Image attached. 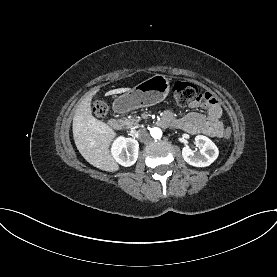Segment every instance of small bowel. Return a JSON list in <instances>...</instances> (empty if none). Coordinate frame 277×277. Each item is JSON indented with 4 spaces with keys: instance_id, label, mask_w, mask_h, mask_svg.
<instances>
[{
    "instance_id": "1",
    "label": "small bowel",
    "mask_w": 277,
    "mask_h": 277,
    "mask_svg": "<svg viewBox=\"0 0 277 277\" xmlns=\"http://www.w3.org/2000/svg\"><path fill=\"white\" fill-rule=\"evenodd\" d=\"M192 108L201 107L206 114L190 112L181 118H176L171 112H166L162 123L185 130L191 134H204L210 137H223L224 124L223 109L218 100L205 92L201 98L190 105Z\"/></svg>"
}]
</instances>
